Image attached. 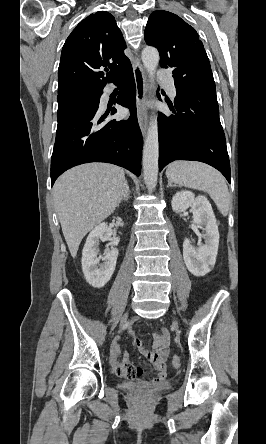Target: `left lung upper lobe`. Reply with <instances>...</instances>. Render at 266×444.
Segmentation results:
<instances>
[{
  "label": "left lung upper lobe",
  "instance_id": "obj_1",
  "mask_svg": "<svg viewBox=\"0 0 266 444\" xmlns=\"http://www.w3.org/2000/svg\"><path fill=\"white\" fill-rule=\"evenodd\" d=\"M145 41L158 49L162 68H173L176 88L216 90L204 46L196 30L179 16L154 11L145 28Z\"/></svg>",
  "mask_w": 266,
  "mask_h": 444
}]
</instances>
